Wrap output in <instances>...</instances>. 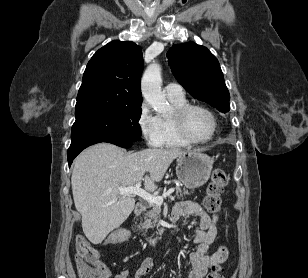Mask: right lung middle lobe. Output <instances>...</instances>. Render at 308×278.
<instances>
[{
  "mask_svg": "<svg viewBox=\"0 0 308 278\" xmlns=\"http://www.w3.org/2000/svg\"><path fill=\"white\" fill-rule=\"evenodd\" d=\"M141 105L118 107L75 115L71 142L89 139L137 141L141 134Z\"/></svg>",
  "mask_w": 308,
  "mask_h": 278,
  "instance_id": "dd1d6c3e",
  "label": "right lung middle lobe"
}]
</instances>
